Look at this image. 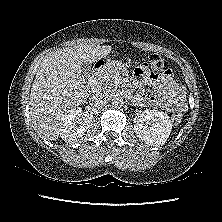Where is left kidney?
Wrapping results in <instances>:
<instances>
[{"mask_svg": "<svg viewBox=\"0 0 222 222\" xmlns=\"http://www.w3.org/2000/svg\"><path fill=\"white\" fill-rule=\"evenodd\" d=\"M142 119L134 125L137 137L150 146L164 145L172 129L169 116L162 111L146 109Z\"/></svg>", "mask_w": 222, "mask_h": 222, "instance_id": "obj_1", "label": "left kidney"}]
</instances>
